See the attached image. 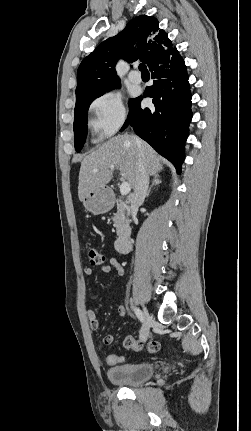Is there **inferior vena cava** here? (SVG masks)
<instances>
[{
    "label": "inferior vena cava",
    "instance_id": "602c4592",
    "mask_svg": "<svg viewBox=\"0 0 251 431\" xmlns=\"http://www.w3.org/2000/svg\"><path fill=\"white\" fill-rule=\"evenodd\" d=\"M137 140V144H139ZM149 186V175L146 171L144 156L141 151H139L137 159V176L136 184L134 187V192L130 199V209L133 218L136 217L138 207L144 202Z\"/></svg>",
    "mask_w": 251,
    "mask_h": 431
}]
</instances>
